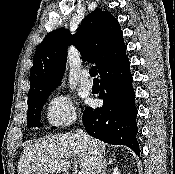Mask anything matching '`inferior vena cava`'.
Listing matches in <instances>:
<instances>
[{
    "mask_svg": "<svg viewBox=\"0 0 175 174\" xmlns=\"http://www.w3.org/2000/svg\"><path fill=\"white\" fill-rule=\"evenodd\" d=\"M77 134L84 139V141L88 144L89 150L91 152V168L88 174H101L102 171V154L98 151V149L93 146L90 142V138L87 134H85L82 130H77Z\"/></svg>",
    "mask_w": 175,
    "mask_h": 174,
    "instance_id": "obj_1",
    "label": "inferior vena cava"
}]
</instances>
